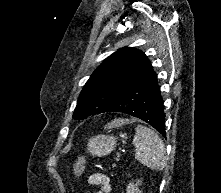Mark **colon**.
Here are the masks:
<instances>
[{
  "mask_svg": "<svg viewBox=\"0 0 221 193\" xmlns=\"http://www.w3.org/2000/svg\"><path fill=\"white\" fill-rule=\"evenodd\" d=\"M86 157L80 156L74 165V174L77 178L81 177L85 167Z\"/></svg>",
  "mask_w": 221,
  "mask_h": 193,
  "instance_id": "1",
  "label": "colon"
}]
</instances>
